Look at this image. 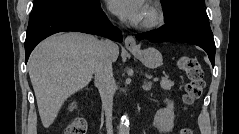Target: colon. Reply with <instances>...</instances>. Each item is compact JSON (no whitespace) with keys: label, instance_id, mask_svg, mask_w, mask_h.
I'll list each match as a JSON object with an SVG mask.
<instances>
[{"label":"colon","instance_id":"5ec220e1","mask_svg":"<svg viewBox=\"0 0 239 134\" xmlns=\"http://www.w3.org/2000/svg\"><path fill=\"white\" fill-rule=\"evenodd\" d=\"M178 65L188 77L182 101L184 106H189L198 100L204 91V71L197 59L186 55L179 58ZM87 127L84 118H76L66 127L64 134H86ZM180 134H192V132L189 128H182Z\"/></svg>","mask_w":239,"mask_h":134}]
</instances>
